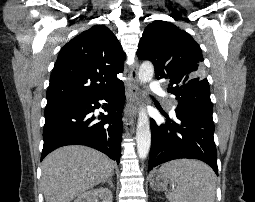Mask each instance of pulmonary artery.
I'll return each mask as SVG.
<instances>
[{"mask_svg":"<svg viewBox=\"0 0 255 202\" xmlns=\"http://www.w3.org/2000/svg\"><path fill=\"white\" fill-rule=\"evenodd\" d=\"M150 89H151L152 92H154V93H156V94H163V93H164V91H163L161 85L159 84V82H156V81H155V82H152V83L150 84ZM175 107H176V102L173 101V100H171V101L169 102V108H170L171 110H174Z\"/></svg>","mask_w":255,"mask_h":202,"instance_id":"1","label":"pulmonary artery"}]
</instances>
